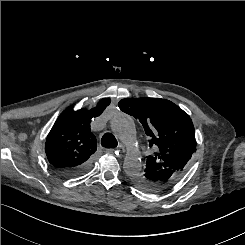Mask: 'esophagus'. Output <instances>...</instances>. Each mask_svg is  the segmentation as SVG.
Wrapping results in <instances>:
<instances>
[{
	"label": "esophagus",
	"mask_w": 245,
	"mask_h": 245,
	"mask_svg": "<svg viewBox=\"0 0 245 245\" xmlns=\"http://www.w3.org/2000/svg\"><path fill=\"white\" fill-rule=\"evenodd\" d=\"M105 152L107 153V154H114L116 151H115V149H106L105 150Z\"/></svg>",
	"instance_id": "obj_1"
}]
</instances>
